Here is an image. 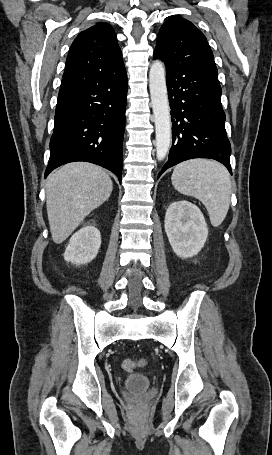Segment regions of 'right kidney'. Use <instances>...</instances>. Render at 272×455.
I'll return each instance as SVG.
<instances>
[{
    "label": "right kidney",
    "mask_w": 272,
    "mask_h": 455,
    "mask_svg": "<svg viewBox=\"0 0 272 455\" xmlns=\"http://www.w3.org/2000/svg\"><path fill=\"white\" fill-rule=\"evenodd\" d=\"M100 245V231L92 225L84 226L70 238L64 259L76 265L87 264L97 256Z\"/></svg>",
    "instance_id": "1"
}]
</instances>
